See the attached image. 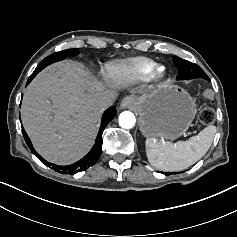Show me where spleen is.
Instances as JSON below:
<instances>
[{
    "label": "spleen",
    "mask_w": 237,
    "mask_h": 237,
    "mask_svg": "<svg viewBox=\"0 0 237 237\" xmlns=\"http://www.w3.org/2000/svg\"><path fill=\"white\" fill-rule=\"evenodd\" d=\"M217 132L215 125H208L197 135L173 143L145 140V151L149 163L163 171H181L200 160L209 150Z\"/></svg>",
    "instance_id": "3e777b00"
}]
</instances>
